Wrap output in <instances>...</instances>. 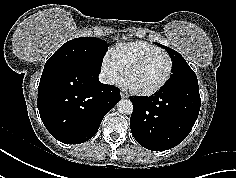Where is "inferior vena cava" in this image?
<instances>
[{"label":"inferior vena cava","instance_id":"602c4592","mask_svg":"<svg viewBox=\"0 0 236 178\" xmlns=\"http://www.w3.org/2000/svg\"><path fill=\"white\" fill-rule=\"evenodd\" d=\"M99 80L104 84H114V78L109 72H101L99 75Z\"/></svg>","mask_w":236,"mask_h":178}]
</instances>
